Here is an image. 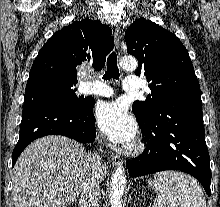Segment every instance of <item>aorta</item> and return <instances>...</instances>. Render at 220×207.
<instances>
[{
	"label": "aorta",
	"mask_w": 220,
	"mask_h": 207,
	"mask_svg": "<svg viewBox=\"0 0 220 207\" xmlns=\"http://www.w3.org/2000/svg\"><path fill=\"white\" fill-rule=\"evenodd\" d=\"M137 60L132 56H124L120 60V66L129 71H133L137 68ZM126 177L125 171L122 166L116 168L112 174L109 199L111 207H122V197L125 190Z\"/></svg>",
	"instance_id": "obj_1"
}]
</instances>
